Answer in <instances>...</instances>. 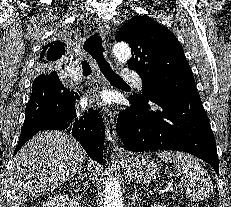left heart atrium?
I'll return each mask as SVG.
<instances>
[{
	"instance_id": "left-heart-atrium-1",
	"label": "left heart atrium",
	"mask_w": 231,
	"mask_h": 207,
	"mask_svg": "<svg viewBox=\"0 0 231 207\" xmlns=\"http://www.w3.org/2000/svg\"><path fill=\"white\" fill-rule=\"evenodd\" d=\"M99 100L102 102V103H107L109 101V98L106 94H101L100 97H99Z\"/></svg>"
}]
</instances>
